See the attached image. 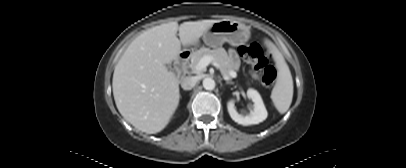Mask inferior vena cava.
I'll list each match as a JSON object with an SVG mask.
<instances>
[{
    "instance_id": "1",
    "label": "inferior vena cava",
    "mask_w": 406,
    "mask_h": 168,
    "mask_svg": "<svg viewBox=\"0 0 406 168\" xmlns=\"http://www.w3.org/2000/svg\"><path fill=\"white\" fill-rule=\"evenodd\" d=\"M197 79L195 77H185L181 81V87L184 90H191L196 85Z\"/></svg>"
}]
</instances>
